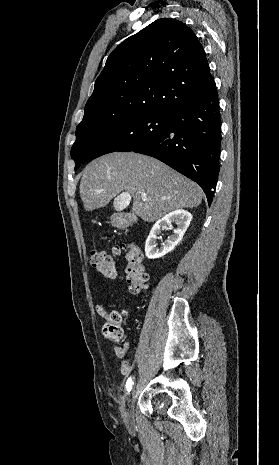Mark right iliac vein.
Returning a JSON list of instances; mask_svg holds the SVG:
<instances>
[{"label":"right iliac vein","instance_id":"1","mask_svg":"<svg viewBox=\"0 0 279 465\" xmlns=\"http://www.w3.org/2000/svg\"><path fill=\"white\" fill-rule=\"evenodd\" d=\"M134 400H135V389H133L131 395H129V397L127 398L128 405L131 406V404L134 402ZM124 419H125V422L127 424H131V422H132L131 413H125L124 414Z\"/></svg>","mask_w":279,"mask_h":465}]
</instances>
